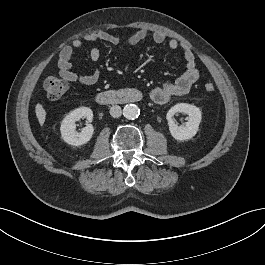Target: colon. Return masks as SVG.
I'll use <instances>...</instances> for the list:
<instances>
[{
	"mask_svg": "<svg viewBox=\"0 0 265 265\" xmlns=\"http://www.w3.org/2000/svg\"><path fill=\"white\" fill-rule=\"evenodd\" d=\"M43 86L46 96L52 101L59 100L67 92L68 89L67 84L63 80L55 76L47 77L44 81ZM202 88L205 93L211 94L215 90V85L212 82L208 81L202 85Z\"/></svg>",
	"mask_w": 265,
	"mask_h": 265,
	"instance_id": "5ec220e1",
	"label": "colon"
}]
</instances>
